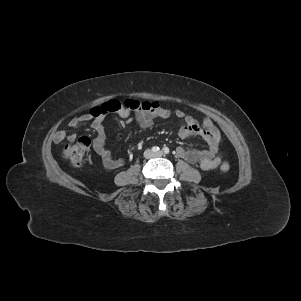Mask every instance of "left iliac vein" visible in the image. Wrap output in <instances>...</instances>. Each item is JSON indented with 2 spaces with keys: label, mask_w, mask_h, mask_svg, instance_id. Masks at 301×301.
I'll return each instance as SVG.
<instances>
[{
  "label": "left iliac vein",
  "mask_w": 301,
  "mask_h": 301,
  "mask_svg": "<svg viewBox=\"0 0 301 301\" xmlns=\"http://www.w3.org/2000/svg\"><path fill=\"white\" fill-rule=\"evenodd\" d=\"M163 155V152L162 151H159L156 156H162Z\"/></svg>",
  "instance_id": "1"
}]
</instances>
